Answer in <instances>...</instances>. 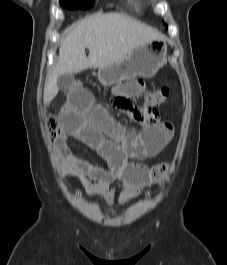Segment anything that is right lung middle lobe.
I'll list each match as a JSON object with an SVG mask.
<instances>
[{
    "mask_svg": "<svg viewBox=\"0 0 227 265\" xmlns=\"http://www.w3.org/2000/svg\"><path fill=\"white\" fill-rule=\"evenodd\" d=\"M93 0H61V5L66 8L75 9V8H90L93 5Z\"/></svg>",
    "mask_w": 227,
    "mask_h": 265,
    "instance_id": "dd1d6c3e",
    "label": "right lung middle lobe"
}]
</instances>
